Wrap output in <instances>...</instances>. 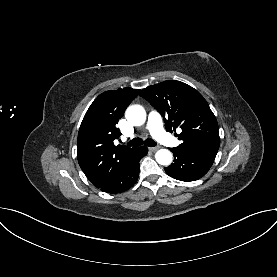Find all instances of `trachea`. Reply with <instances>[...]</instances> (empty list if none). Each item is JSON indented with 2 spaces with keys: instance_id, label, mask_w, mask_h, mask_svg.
Masks as SVG:
<instances>
[{
  "instance_id": "obj_1",
  "label": "trachea",
  "mask_w": 277,
  "mask_h": 277,
  "mask_svg": "<svg viewBox=\"0 0 277 277\" xmlns=\"http://www.w3.org/2000/svg\"><path fill=\"white\" fill-rule=\"evenodd\" d=\"M127 144L129 146H140L145 144L146 146H149V147H154L157 145V143L152 139H146L145 141H143L140 138H134L131 141H129Z\"/></svg>"
}]
</instances>
